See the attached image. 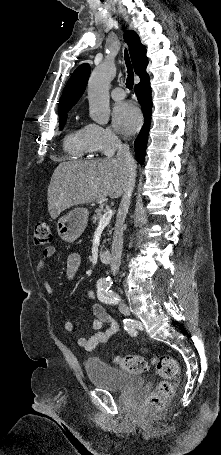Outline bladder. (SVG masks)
<instances>
[{
  "instance_id": "31cf9c89",
  "label": "bladder",
  "mask_w": 221,
  "mask_h": 455,
  "mask_svg": "<svg viewBox=\"0 0 221 455\" xmlns=\"http://www.w3.org/2000/svg\"><path fill=\"white\" fill-rule=\"evenodd\" d=\"M85 370L90 381L99 387L113 392H129L143 387L144 379L106 363L87 359Z\"/></svg>"
}]
</instances>
